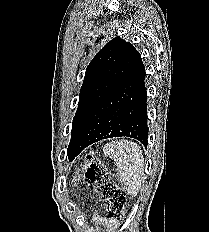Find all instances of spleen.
Masks as SVG:
<instances>
[{
    "instance_id": "spleen-1",
    "label": "spleen",
    "mask_w": 209,
    "mask_h": 232,
    "mask_svg": "<svg viewBox=\"0 0 209 232\" xmlns=\"http://www.w3.org/2000/svg\"><path fill=\"white\" fill-rule=\"evenodd\" d=\"M103 152L114 160L118 178L128 194L136 197L143 181L144 159L140 147L132 141H114L104 146Z\"/></svg>"
}]
</instances>
